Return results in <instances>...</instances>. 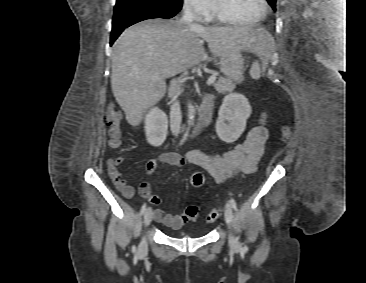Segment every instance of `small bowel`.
Masks as SVG:
<instances>
[{
    "label": "small bowel",
    "mask_w": 366,
    "mask_h": 283,
    "mask_svg": "<svg viewBox=\"0 0 366 283\" xmlns=\"http://www.w3.org/2000/svg\"><path fill=\"white\" fill-rule=\"evenodd\" d=\"M265 113L259 117L258 124L247 134L246 139L234 148L223 153H207L199 149L190 150L185 156L174 152H163L156 158L146 162V173L151 175L155 172L158 163L174 166H182L189 163L198 166L208 172L217 182L231 179L237 173L250 174L256 170L257 164L264 154L268 130L265 127ZM123 162L121 157L109 159L108 173L122 195L131 199L135 194V188L128 184L122 177L119 165ZM141 197L149 199L153 204H159L160 198L151 194L148 182H142L138 187ZM153 218L172 228L179 229L186 219L180 215L165 213L162 209L153 210Z\"/></svg>",
    "instance_id": "c3829d8e"
}]
</instances>
